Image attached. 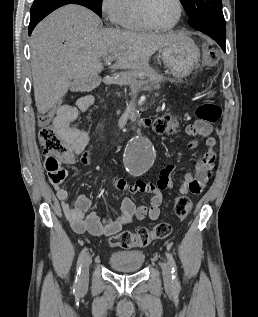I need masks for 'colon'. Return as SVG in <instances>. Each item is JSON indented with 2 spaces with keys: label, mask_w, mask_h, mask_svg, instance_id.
Listing matches in <instances>:
<instances>
[{
  "label": "colon",
  "mask_w": 258,
  "mask_h": 317,
  "mask_svg": "<svg viewBox=\"0 0 258 317\" xmlns=\"http://www.w3.org/2000/svg\"><path fill=\"white\" fill-rule=\"evenodd\" d=\"M213 53H211L210 63L214 62ZM212 89H209V93ZM221 114V109L218 105L212 102H203L196 109V116L199 120L214 123ZM53 119V113H47L41 118V123L44 125L39 132V142L46 154L57 156L62 160L71 163L74 161V156L67 142L61 137L57 129L50 125ZM153 129L157 133H172L175 131L176 123L169 114H163L157 117L152 123ZM192 209V201L185 196H179L174 202V211L178 219L185 220ZM172 231L169 223H157L151 228L142 227L137 231H122L113 235L109 239V243L113 247L129 249L133 247H145L155 240H163L167 238Z\"/></svg>",
  "instance_id": "colon-1"
}]
</instances>
